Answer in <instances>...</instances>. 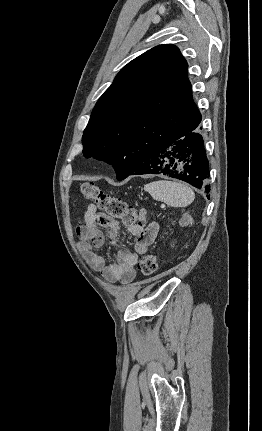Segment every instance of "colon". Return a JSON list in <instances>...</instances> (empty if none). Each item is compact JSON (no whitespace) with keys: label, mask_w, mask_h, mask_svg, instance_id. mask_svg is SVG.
Segmentation results:
<instances>
[{"label":"colon","mask_w":262,"mask_h":431,"mask_svg":"<svg viewBox=\"0 0 262 431\" xmlns=\"http://www.w3.org/2000/svg\"><path fill=\"white\" fill-rule=\"evenodd\" d=\"M81 193L87 200L107 216L115 220H121L125 225H143L145 222L144 211L129 207L122 199L112 196L94 183H84ZM141 274L149 276L158 269V259L154 254H146L138 262Z\"/></svg>","instance_id":"1"}]
</instances>
